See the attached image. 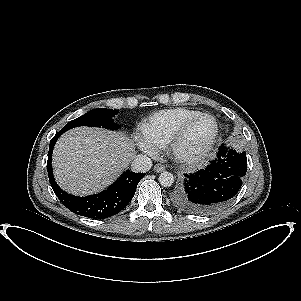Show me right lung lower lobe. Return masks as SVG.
I'll use <instances>...</instances> for the list:
<instances>
[{
  "mask_svg": "<svg viewBox=\"0 0 301 301\" xmlns=\"http://www.w3.org/2000/svg\"><path fill=\"white\" fill-rule=\"evenodd\" d=\"M59 131L50 141L47 171L51 186L59 200L70 211L92 219H104L119 213L132 200L139 181L145 173H133L126 171L107 190L86 197H77L63 191L54 181L52 173V152L57 139L62 134Z\"/></svg>",
  "mask_w": 301,
  "mask_h": 301,
  "instance_id": "98d812e1",
  "label": "right lung lower lobe"
}]
</instances>
